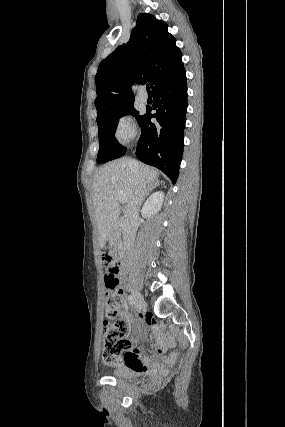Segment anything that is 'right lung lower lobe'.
Segmentation results:
<instances>
[{"mask_svg":"<svg viewBox=\"0 0 285 427\" xmlns=\"http://www.w3.org/2000/svg\"><path fill=\"white\" fill-rule=\"evenodd\" d=\"M156 113L147 111L140 123L142 132L136 148L137 158L162 170L173 182L179 175L184 146L187 112L185 70L175 79L153 91ZM154 117L157 123L150 120Z\"/></svg>","mask_w":285,"mask_h":427,"instance_id":"1","label":"right lung lower lobe"}]
</instances>
